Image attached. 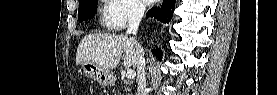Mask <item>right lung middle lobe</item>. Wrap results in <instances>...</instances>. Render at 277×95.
<instances>
[{
	"instance_id": "dd1d6c3e",
	"label": "right lung middle lobe",
	"mask_w": 277,
	"mask_h": 95,
	"mask_svg": "<svg viewBox=\"0 0 277 95\" xmlns=\"http://www.w3.org/2000/svg\"><path fill=\"white\" fill-rule=\"evenodd\" d=\"M97 0H82L79 2L78 20L80 22L92 18L97 10Z\"/></svg>"
}]
</instances>
